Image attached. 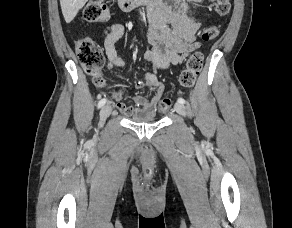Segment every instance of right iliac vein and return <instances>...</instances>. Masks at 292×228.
Masks as SVG:
<instances>
[{
	"mask_svg": "<svg viewBox=\"0 0 292 228\" xmlns=\"http://www.w3.org/2000/svg\"><path fill=\"white\" fill-rule=\"evenodd\" d=\"M111 111H112V107L109 104L102 107V109L100 111V122H99L100 127L103 126L105 120L111 114Z\"/></svg>",
	"mask_w": 292,
	"mask_h": 228,
	"instance_id": "63e3f726",
	"label": "right iliac vein"
}]
</instances>
